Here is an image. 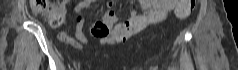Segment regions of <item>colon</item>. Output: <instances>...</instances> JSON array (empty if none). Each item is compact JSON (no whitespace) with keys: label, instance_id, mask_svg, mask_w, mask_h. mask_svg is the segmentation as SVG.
Here are the masks:
<instances>
[{"label":"colon","instance_id":"5ec220e1","mask_svg":"<svg viewBox=\"0 0 238 70\" xmlns=\"http://www.w3.org/2000/svg\"><path fill=\"white\" fill-rule=\"evenodd\" d=\"M195 4V0H179L175 9L177 17L181 19L189 17L194 11ZM30 8L33 13L44 16L51 27H59L64 21L63 15L49 0H30Z\"/></svg>","mask_w":238,"mask_h":70}]
</instances>
